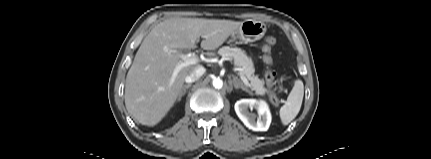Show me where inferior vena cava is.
<instances>
[{
	"instance_id": "obj_1",
	"label": "inferior vena cava",
	"mask_w": 431,
	"mask_h": 159,
	"mask_svg": "<svg viewBox=\"0 0 431 159\" xmlns=\"http://www.w3.org/2000/svg\"><path fill=\"white\" fill-rule=\"evenodd\" d=\"M206 69L202 66H199L194 71H192L189 75L186 76L185 82L186 83H192L195 82L197 79H199L204 73Z\"/></svg>"
}]
</instances>
